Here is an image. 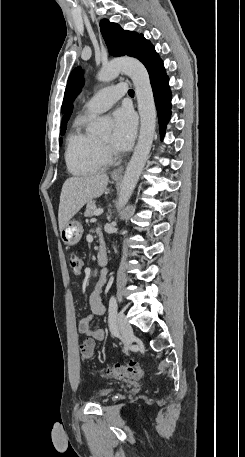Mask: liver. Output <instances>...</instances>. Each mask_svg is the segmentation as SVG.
Returning a JSON list of instances; mask_svg holds the SVG:
<instances>
[{
    "mask_svg": "<svg viewBox=\"0 0 245 457\" xmlns=\"http://www.w3.org/2000/svg\"><path fill=\"white\" fill-rule=\"evenodd\" d=\"M109 176L106 172H91L84 176H70L65 180L60 196L58 210L59 231H62L66 222L92 198L103 194Z\"/></svg>",
    "mask_w": 245,
    "mask_h": 457,
    "instance_id": "1",
    "label": "liver"
}]
</instances>
